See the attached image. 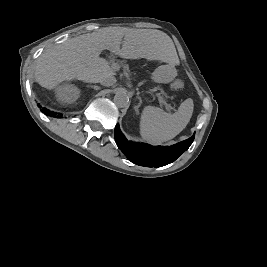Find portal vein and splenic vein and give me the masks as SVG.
Segmentation results:
<instances>
[{
    "mask_svg": "<svg viewBox=\"0 0 267 267\" xmlns=\"http://www.w3.org/2000/svg\"><path fill=\"white\" fill-rule=\"evenodd\" d=\"M99 66H105V67H108L107 64H103V63H98ZM111 67L114 69V70H118L119 69V66L116 64V63H112L110 64Z\"/></svg>",
    "mask_w": 267,
    "mask_h": 267,
    "instance_id": "18ae733b",
    "label": "portal vein and splenic vein"
}]
</instances>
